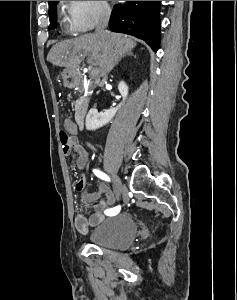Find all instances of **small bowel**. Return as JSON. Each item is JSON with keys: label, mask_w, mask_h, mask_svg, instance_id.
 Returning <instances> with one entry per match:
<instances>
[{"label": "small bowel", "mask_w": 237, "mask_h": 300, "mask_svg": "<svg viewBox=\"0 0 237 300\" xmlns=\"http://www.w3.org/2000/svg\"><path fill=\"white\" fill-rule=\"evenodd\" d=\"M64 128L69 134L75 135L78 133V127L70 119L65 120ZM64 153L66 155H73L74 164L81 171V176L75 184L76 191L81 193L84 202L91 204V214L79 211L74 218V225L77 231L86 233L89 227L100 223L104 219L105 215H107L106 211L116 203L117 196L105 183H101L95 192L87 190L89 153L86 149L77 145L73 150H64Z\"/></svg>", "instance_id": "obj_1"}]
</instances>
